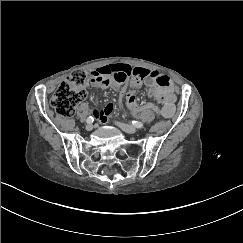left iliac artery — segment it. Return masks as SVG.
I'll use <instances>...</instances> for the list:
<instances>
[{
	"label": "left iliac artery",
	"mask_w": 243,
	"mask_h": 243,
	"mask_svg": "<svg viewBox=\"0 0 243 243\" xmlns=\"http://www.w3.org/2000/svg\"><path fill=\"white\" fill-rule=\"evenodd\" d=\"M132 125L136 128H142L144 126V124L139 121H132Z\"/></svg>",
	"instance_id": "obj_1"
}]
</instances>
